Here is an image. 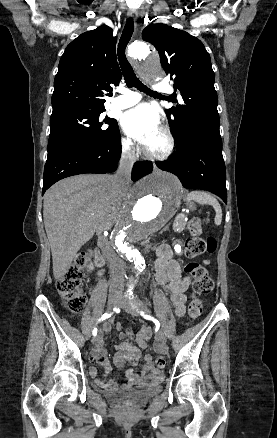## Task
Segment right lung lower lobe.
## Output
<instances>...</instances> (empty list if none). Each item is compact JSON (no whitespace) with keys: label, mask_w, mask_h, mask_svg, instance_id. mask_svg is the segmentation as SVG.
<instances>
[{"label":"right lung lower lobe","mask_w":277,"mask_h":438,"mask_svg":"<svg viewBox=\"0 0 277 438\" xmlns=\"http://www.w3.org/2000/svg\"><path fill=\"white\" fill-rule=\"evenodd\" d=\"M121 155L120 134L104 144L79 147L47 158L44 168L42 195L55 182L82 173H109L117 168ZM149 161L136 162L132 180L137 181L151 172Z\"/></svg>","instance_id":"obj_1"}]
</instances>
